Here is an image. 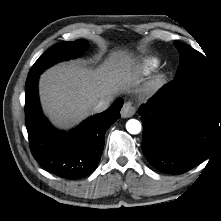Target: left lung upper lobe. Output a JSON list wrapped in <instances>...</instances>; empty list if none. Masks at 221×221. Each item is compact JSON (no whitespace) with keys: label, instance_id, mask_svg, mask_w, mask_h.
Instances as JSON below:
<instances>
[{"label":"left lung upper lobe","instance_id":"obj_1","mask_svg":"<svg viewBox=\"0 0 221 221\" xmlns=\"http://www.w3.org/2000/svg\"><path fill=\"white\" fill-rule=\"evenodd\" d=\"M180 55L175 79L198 77L221 89V79L211 68L208 60L198 51L181 42H174Z\"/></svg>","mask_w":221,"mask_h":221}]
</instances>
